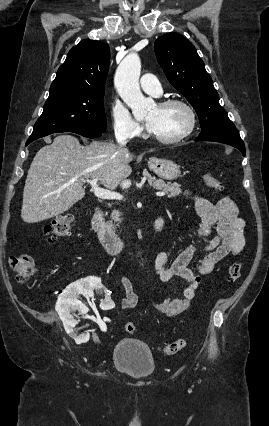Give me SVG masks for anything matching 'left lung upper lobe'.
I'll list each match as a JSON object with an SVG mask.
<instances>
[{
    "mask_svg": "<svg viewBox=\"0 0 269 426\" xmlns=\"http://www.w3.org/2000/svg\"><path fill=\"white\" fill-rule=\"evenodd\" d=\"M154 50L169 82L195 109L202 130L199 136L212 137L236 129L220 106L213 81L190 41L171 32L155 41Z\"/></svg>",
    "mask_w": 269,
    "mask_h": 426,
    "instance_id": "left-lung-upper-lobe-1",
    "label": "left lung upper lobe"
}]
</instances>
